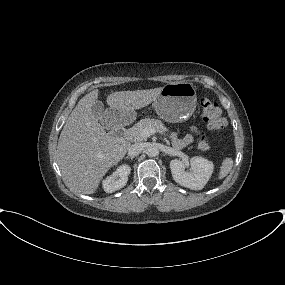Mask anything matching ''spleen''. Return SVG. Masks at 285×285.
Wrapping results in <instances>:
<instances>
[{
  "instance_id": "3e777b00",
  "label": "spleen",
  "mask_w": 285,
  "mask_h": 285,
  "mask_svg": "<svg viewBox=\"0 0 285 285\" xmlns=\"http://www.w3.org/2000/svg\"><path fill=\"white\" fill-rule=\"evenodd\" d=\"M232 167H233V159L230 157L225 158L220 167L218 178L223 179L224 177H226L231 171Z\"/></svg>"
}]
</instances>
